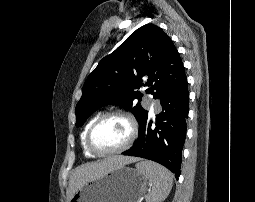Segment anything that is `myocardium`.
<instances>
[{"label": "myocardium", "mask_w": 255, "mask_h": 202, "mask_svg": "<svg viewBox=\"0 0 255 202\" xmlns=\"http://www.w3.org/2000/svg\"><path fill=\"white\" fill-rule=\"evenodd\" d=\"M111 117H121L124 120H126V122L129 125V129H130L129 137H128L127 141L121 147H119L115 150L108 151V152L98 151L92 144L93 132L102 121H104L105 119L111 118ZM138 132H139L138 123L133 115H131L130 113L123 111V110H114V111L106 112V113L98 116L93 121V123L90 125V127L87 131L85 142H86V146H87L88 150L92 154H94L96 156H111V155L120 154V153L126 151L127 149H129L132 146V144L134 143V141L136 140V138L138 136Z\"/></svg>", "instance_id": "1"}]
</instances>
